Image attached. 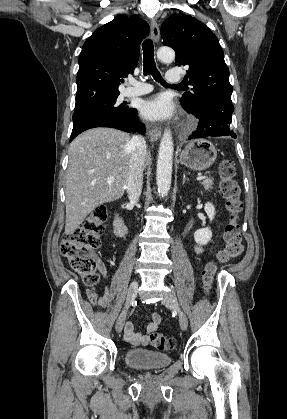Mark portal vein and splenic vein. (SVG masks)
<instances>
[{"label": "portal vein and splenic vein", "instance_id": "obj_1", "mask_svg": "<svg viewBox=\"0 0 287 419\" xmlns=\"http://www.w3.org/2000/svg\"><path fill=\"white\" fill-rule=\"evenodd\" d=\"M204 179H206V176H198L197 177V181H201V180H204ZM109 183L110 182H113L114 181V177H110V178H108V180H107Z\"/></svg>", "mask_w": 287, "mask_h": 419}]
</instances>
